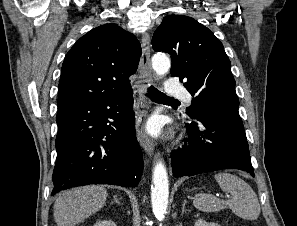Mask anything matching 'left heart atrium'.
<instances>
[{"label": "left heart atrium", "instance_id": "obj_1", "mask_svg": "<svg viewBox=\"0 0 297 226\" xmlns=\"http://www.w3.org/2000/svg\"><path fill=\"white\" fill-rule=\"evenodd\" d=\"M149 130L152 131V132H157L158 130V125L157 123L153 122L149 125Z\"/></svg>", "mask_w": 297, "mask_h": 226}]
</instances>
